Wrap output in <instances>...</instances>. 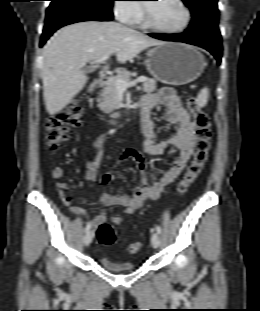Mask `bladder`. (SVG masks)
<instances>
[{"label": "bladder", "instance_id": "31cf9c89", "mask_svg": "<svg viewBox=\"0 0 260 311\" xmlns=\"http://www.w3.org/2000/svg\"><path fill=\"white\" fill-rule=\"evenodd\" d=\"M97 262L104 268L110 271H126L134 270L137 265L133 262H117L110 259L105 253L100 252L96 255Z\"/></svg>", "mask_w": 260, "mask_h": 311}]
</instances>
